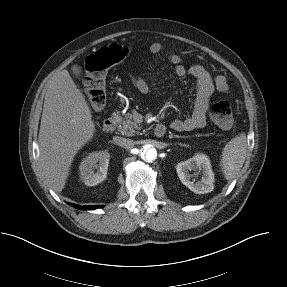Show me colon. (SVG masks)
Returning a JSON list of instances; mask_svg holds the SVG:
<instances>
[{
  "instance_id": "1",
  "label": "colon",
  "mask_w": 287,
  "mask_h": 287,
  "mask_svg": "<svg viewBox=\"0 0 287 287\" xmlns=\"http://www.w3.org/2000/svg\"><path fill=\"white\" fill-rule=\"evenodd\" d=\"M129 53V47L111 44L100 48L86 58L83 86L87 99L94 110H100L105 105L107 71L123 61ZM210 116L213 122L222 129H230L233 125L232 107L227 100L220 99L212 104Z\"/></svg>"
}]
</instances>
